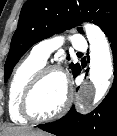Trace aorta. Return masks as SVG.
<instances>
[{
  "instance_id": "aorta-1",
  "label": "aorta",
  "mask_w": 117,
  "mask_h": 136,
  "mask_svg": "<svg viewBox=\"0 0 117 136\" xmlns=\"http://www.w3.org/2000/svg\"><path fill=\"white\" fill-rule=\"evenodd\" d=\"M84 30L90 44V71L89 78L95 87V101L101 100L113 76V63L109 42L101 29L93 24H85ZM78 110L84 111L83 103L78 104Z\"/></svg>"
}]
</instances>
